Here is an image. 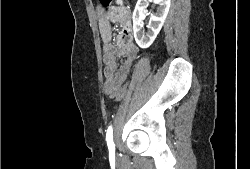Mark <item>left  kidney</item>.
Wrapping results in <instances>:
<instances>
[{
    "mask_svg": "<svg viewBox=\"0 0 250 169\" xmlns=\"http://www.w3.org/2000/svg\"><path fill=\"white\" fill-rule=\"evenodd\" d=\"M148 2H155V4H159L158 12L156 14H152L150 16L149 24H147L148 28H150V32L145 34L143 28V14L146 12V8L148 6ZM170 0H138L134 12H133V30H134V38L141 46V48H148L152 42H154L158 32H160L164 20L169 12L170 8Z\"/></svg>",
    "mask_w": 250,
    "mask_h": 169,
    "instance_id": "1",
    "label": "left kidney"
}]
</instances>
